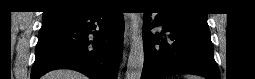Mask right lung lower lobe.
I'll list each match as a JSON object with an SVG mask.
<instances>
[{
  "mask_svg": "<svg viewBox=\"0 0 255 79\" xmlns=\"http://www.w3.org/2000/svg\"><path fill=\"white\" fill-rule=\"evenodd\" d=\"M123 34L121 12L95 8L46 16L38 35L31 79L60 68L80 71L91 79H116Z\"/></svg>",
  "mask_w": 255,
  "mask_h": 79,
  "instance_id": "1",
  "label": "right lung lower lobe"
}]
</instances>
